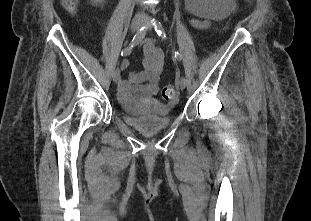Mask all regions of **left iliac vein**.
Here are the masks:
<instances>
[{
    "label": "left iliac vein",
    "mask_w": 311,
    "mask_h": 221,
    "mask_svg": "<svg viewBox=\"0 0 311 221\" xmlns=\"http://www.w3.org/2000/svg\"><path fill=\"white\" fill-rule=\"evenodd\" d=\"M145 24H148V21L145 22ZM179 85L182 89H185L187 86V80L184 77H181L179 80Z\"/></svg>",
    "instance_id": "obj_1"
}]
</instances>
